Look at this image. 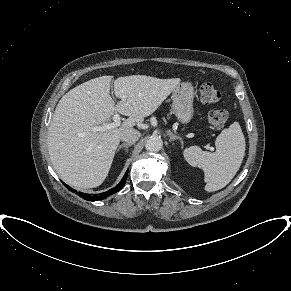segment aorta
Here are the masks:
<instances>
[{
	"label": "aorta",
	"mask_w": 291,
	"mask_h": 291,
	"mask_svg": "<svg viewBox=\"0 0 291 291\" xmlns=\"http://www.w3.org/2000/svg\"><path fill=\"white\" fill-rule=\"evenodd\" d=\"M163 141L159 137H150L146 144L145 148L149 152H158L162 149Z\"/></svg>",
	"instance_id": "aorta-1"
}]
</instances>
